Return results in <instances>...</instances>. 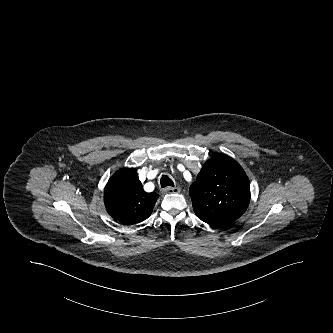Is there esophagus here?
Returning <instances> with one entry per match:
<instances>
[{
    "instance_id": "34e87169",
    "label": "esophagus",
    "mask_w": 333,
    "mask_h": 333,
    "mask_svg": "<svg viewBox=\"0 0 333 333\" xmlns=\"http://www.w3.org/2000/svg\"><path fill=\"white\" fill-rule=\"evenodd\" d=\"M164 193H179L180 192V188L179 187H167L165 189H163Z\"/></svg>"
}]
</instances>
